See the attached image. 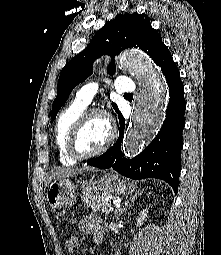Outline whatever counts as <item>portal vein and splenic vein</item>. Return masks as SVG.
Here are the masks:
<instances>
[{"label": "portal vein and splenic vein", "mask_w": 221, "mask_h": 255, "mask_svg": "<svg viewBox=\"0 0 221 255\" xmlns=\"http://www.w3.org/2000/svg\"><path fill=\"white\" fill-rule=\"evenodd\" d=\"M114 204L116 205L117 208L120 207V203L119 202H114ZM109 211L110 212L113 211V207L112 206L109 207Z\"/></svg>", "instance_id": "portal-vein-and-splenic-vein-1"}]
</instances>
